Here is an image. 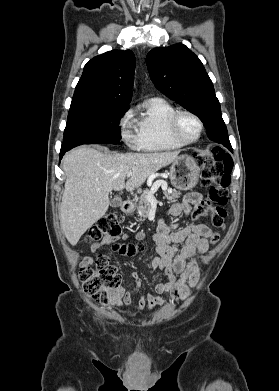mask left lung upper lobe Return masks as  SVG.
<instances>
[{"label":"left lung upper lobe","mask_w":279,"mask_h":391,"mask_svg":"<svg viewBox=\"0 0 279 391\" xmlns=\"http://www.w3.org/2000/svg\"><path fill=\"white\" fill-rule=\"evenodd\" d=\"M147 67L156 88L204 123L209 139L231 149L220 103L202 62L183 44L154 48Z\"/></svg>","instance_id":"5c2ea615"}]
</instances>
